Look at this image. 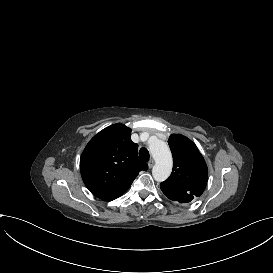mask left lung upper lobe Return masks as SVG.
Segmentation results:
<instances>
[{
  "label": "left lung upper lobe",
  "mask_w": 273,
  "mask_h": 273,
  "mask_svg": "<svg viewBox=\"0 0 273 273\" xmlns=\"http://www.w3.org/2000/svg\"><path fill=\"white\" fill-rule=\"evenodd\" d=\"M173 155V172L160 184L171 200L199 197L208 181V169L196 145L187 137L172 134L168 139Z\"/></svg>",
  "instance_id": "1"
}]
</instances>
